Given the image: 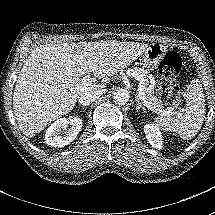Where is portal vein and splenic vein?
<instances>
[{
	"mask_svg": "<svg viewBox=\"0 0 215 215\" xmlns=\"http://www.w3.org/2000/svg\"><path fill=\"white\" fill-rule=\"evenodd\" d=\"M127 75L129 76H132L134 77L136 80L139 81V84H138V97L141 101H143L144 103V106H146L148 109H150L151 111H155L156 113H163L164 115H167V114H170L171 113V110L170 109H167V110H157L154 106L151 105V103L149 101H147V98H146V87H145V79L142 78L140 75H138L137 73H135L133 70H128ZM84 79V84H88L90 85L91 82L93 81L92 80V77L90 75V73H88L87 75H85L83 77Z\"/></svg>",
	"mask_w": 215,
	"mask_h": 215,
	"instance_id": "portal-vein-and-splenic-vein-1",
	"label": "portal vein and splenic vein"
}]
</instances>
